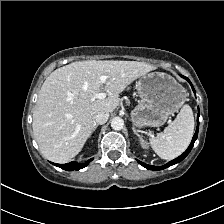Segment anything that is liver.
<instances>
[{
	"label": "liver",
	"mask_w": 224,
	"mask_h": 224,
	"mask_svg": "<svg viewBox=\"0 0 224 224\" xmlns=\"http://www.w3.org/2000/svg\"><path fill=\"white\" fill-rule=\"evenodd\" d=\"M156 67L137 61H79L53 71L44 81L33 112V133L45 158L66 163L82 150L96 125L95 116L113 112L119 95ZM102 75L107 81H100ZM104 99L94 98L101 91Z\"/></svg>",
	"instance_id": "liver-1"
}]
</instances>
